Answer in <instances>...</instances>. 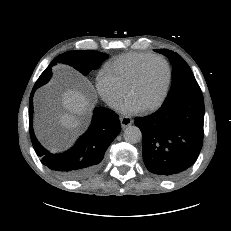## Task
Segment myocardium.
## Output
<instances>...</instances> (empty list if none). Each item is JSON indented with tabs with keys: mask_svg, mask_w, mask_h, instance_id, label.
<instances>
[{
	"mask_svg": "<svg viewBox=\"0 0 231 231\" xmlns=\"http://www.w3.org/2000/svg\"><path fill=\"white\" fill-rule=\"evenodd\" d=\"M152 60H160L164 63L166 70H167V76H166V81H165L163 90H162L159 98L154 103H152L151 105H148V106L142 108V110L145 112H150V111H153V110H156L157 108H159L167 96V93H168V90L170 87V82H171V68H170V65L167 62V60L165 58H163L162 56H159V55H152L149 58H147L145 61H143L138 66L137 70L135 71L132 79L130 80V82L126 88V95L129 97L130 92L135 87V85L139 82L144 68Z\"/></svg>",
	"mask_w": 231,
	"mask_h": 231,
	"instance_id": "1",
	"label": "myocardium"
}]
</instances>
